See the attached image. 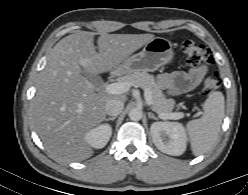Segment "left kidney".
<instances>
[{"label":"left kidney","instance_id":"1","mask_svg":"<svg viewBox=\"0 0 248 195\" xmlns=\"http://www.w3.org/2000/svg\"><path fill=\"white\" fill-rule=\"evenodd\" d=\"M155 146L163 153L182 155L187 146L185 128L177 122H154L150 127Z\"/></svg>","mask_w":248,"mask_h":195}]
</instances>
